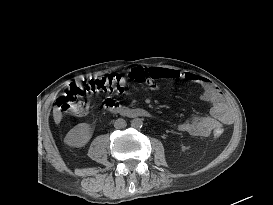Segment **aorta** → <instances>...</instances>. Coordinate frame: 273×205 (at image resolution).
I'll return each mask as SVG.
<instances>
[{"mask_svg":"<svg viewBox=\"0 0 273 205\" xmlns=\"http://www.w3.org/2000/svg\"><path fill=\"white\" fill-rule=\"evenodd\" d=\"M131 126H132L134 129H140V128H142V126H143V121H142V119H140V118H134V119L131 121Z\"/></svg>","mask_w":273,"mask_h":205,"instance_id":"aorta-1","label":"aorta"}]
</instances>
